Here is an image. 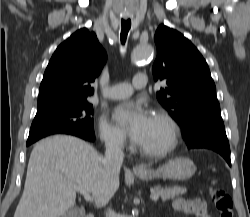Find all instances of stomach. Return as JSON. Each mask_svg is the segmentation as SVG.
I'll list each match as a JSON object with an SVG mask.
<instances>
[{
  "mask_svg": "<svg viewBox=\"0 0 250 217\" xmlns=\"http://www.w3.org/2000/svg\"><path fill=\"white\" fill-rule=\"evenodd\" d=\"M195 171L196 166L192 160L180 157L168 161L156 170L150 169L145 173H137V176L144 181H150L154 178L184 181L191 178Z\"/></svg>",
  "mask_w": 250,
  "mask_h": 217,
  "instance_id": "0dacf381",
  "label": "stomach"
}]
</instances>
